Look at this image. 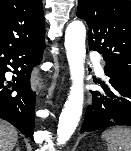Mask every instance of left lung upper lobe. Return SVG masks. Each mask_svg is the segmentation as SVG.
Listing matches in <instances>:
<instances>
[{
    "label": "left lung upper lobe",
    "mask_w": 131,
    "mask_h": 151,
    "mask_svg": "<svg viewBox=\"0 0 131 151\" xmlns=\"http://www.w3.org/2000/svg\"><path fill=\"white\" fill-rule=\"evenodd\" d=\"M77 16L88 24L90 50L102 53L110 68L131 75V2L78 0Z\"/></svg>",
    "instance_id": "1"
}]
</instances>
